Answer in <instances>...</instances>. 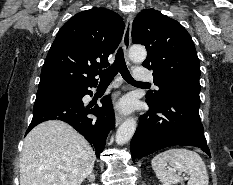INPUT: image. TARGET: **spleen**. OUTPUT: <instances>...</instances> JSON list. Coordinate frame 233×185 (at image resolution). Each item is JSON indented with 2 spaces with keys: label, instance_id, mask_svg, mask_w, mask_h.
<instances>
[{
  "label": "spleen",
  "instance_id": "1",
  "mask_svg": "<svg viewBox=\"0 0 233 185\" xmlns=\"http://www.w3.org/2000/svg\"><path fill=\"white\" fill-rule=\"evenodd\" d=\"M171 167L189 175L188 185L209 184L206 165L200 155L192 150L171 148L152 159V169L163 185L177 184L183 180Z\"/></svg>",
  "mask_w": 233,
  "mask_h": 185
}]
</instances>
